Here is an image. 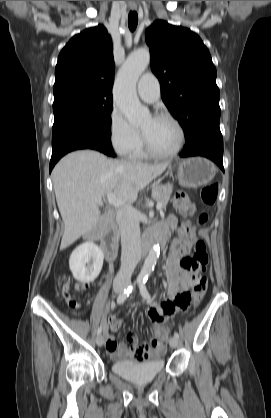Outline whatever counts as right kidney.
<instances>
[{
	"label": "right kidney",
	"instance_id": "right-kidney-1",
	"mask_svg": "<svg viewBox=\"0 0 271 418\" xmlns=\"http://www.w3.org/2000/svg\"><path fill=\"white\" fill-rule=\"evenodd\" d=\"M103 252L94 242L79 245L70 255L69 266L74 278L83 283L93 282L103 266Z\"/></svg>",
	"mask_w": 271,
	"mask_h": 418
}]
</instances>
